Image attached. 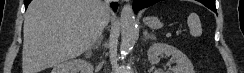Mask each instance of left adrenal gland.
<instances>
[{"label": "left adrenal gland", "mask_w": 244, "mask_h": 73, "mask_svg": "<svg viewBox=\"0 0 244 73\" xmlns=\"http://www.w3.org/2000/svg\"><path fill=\"white\" fill-rule=\"evenodd\" d=\"M144 40H147V39H155V35L154 34H149L148 31H144Z\"/></svg>", "instance_id": "a2214340"}]
</instances>
